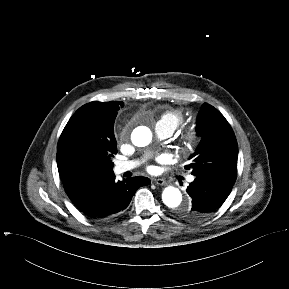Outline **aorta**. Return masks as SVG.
Here are the masks:
<instances>
[{"label": "aorta", "instance_id": "aorta-1", "mask_svg": "<svg viewBox=\"0 0 289 289\" xmlns=\"http://www.w3.org/2000/svg\"><path fill=\"white\" fill-rule=\"evenodd\" d=\"M152 140V133L148 127L141 126L135 129L132 134V142L138 147L147 146ZM163 203L172 209L187 212L191 205L188 201L183 203V197L180 190L173 186H168L162 193Z\"/></svg>", "mask_w": 289, "mask_h": 289}]
</instances>
